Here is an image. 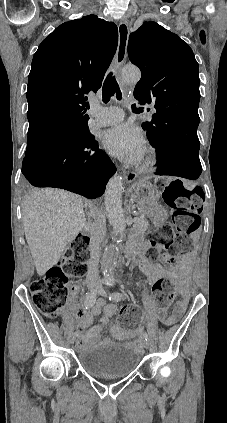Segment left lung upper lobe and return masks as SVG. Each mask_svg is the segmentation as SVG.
Segmentation results:
<instances>
[{
    "label": "left lung upper lobe",
    "instance_id": "5c2ea615",
    "mask_svg": "<svg viewBox=\"0 0 227 423\" xmlns=\"http://www.w3.org/2000/svg\"><path fill=\"white\" fill-rule=\"evenodd\" d=\"M128 55L141 70L134 97L141 105L154 104L157 111L151 122L142 124L148 139L183 121L199 122L198 63L186 42L149 21L130 35Z\"/></svg>",
    "mask_w": 227,
    "mask_h": 423
}]
</instances>
